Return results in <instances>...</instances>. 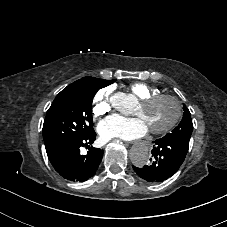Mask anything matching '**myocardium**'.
<instances>
[{
    "instance_id": "myocardium-1",
    "label": "myocardium",
    "mask_w": 227,
    "mask_h": 227,
    "mask_svg": "<svg viewBox=\"0 0 227 227\" xmlns=\"http://www.w3.org/2000/svg\"><path fill=\"white\" fill-rule=\"evenodd\" d=\"M162 99H168L174 104L175 114H174L172 120L165 127L161 128V129H149V131L155 135L164 134V133L172 130L173 128H175L178 125V123L180 122L182 115H183V106H182L180 100L177 97L170 95V94L159 93L156 95L147 96L145 98L140 99L139 106L141 108H145Z\"/></svg>"
}]
</instances>
